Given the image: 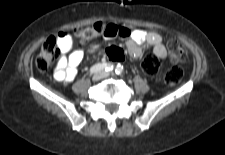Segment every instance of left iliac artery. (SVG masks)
<instances>
[{"label": "left iliac artery", "mask_w": 225, "mask_h": 155, "mask_svg": "<svg viewBox=\"0 0 225 155\" xmlns=\"http://www.w3.org/2000/svg\"><path fill=\"white\" fill-rule=\"evenodd\" d=\"M122 72H123V66L120 65V64H118V65L116 66V68H115V73H116L117 75H120V74H122Z\"/></svg>", "instance_id": "obj_1"}]
</instances>
